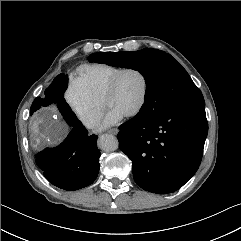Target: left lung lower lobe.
I'll return each mask as SVG.
<instances>
[{"label":"left lung lower lobe","mask_w":241,"mask_h":241,"mask_svg":"<svg viewBox=\"0 0 241 241\" xmlns=\"http://www.w3.org/2000/svg\"><path fill=\"white\" fill-rule=\"evenodd\" d=\"M162 104L160 96L152 98L117 136L135 182L157 194L178 190L196 173L208 133L205 106L164 109Z\"/></svg>","instance_id":"0a47b994"}]
</instances>
